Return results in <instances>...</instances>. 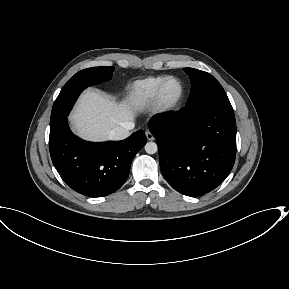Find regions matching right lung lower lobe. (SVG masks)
<instances>
[{
	"instance_id": "1",
	"label": "right lung lower lobe",
	"mask_w": 289,
	"mask_h": 289,
	"mask_svg": "<svg viewBox=\"0 0 289 289\" xmlns=\"http://www.w3.org/2000/svg\"><path fill=\"white\" fill-rule=\"evenodd\" d=\"M146 142L143 130L122 141L86 142L71 132L65 117L50 127L49 149L56 170L70 188L102 197L125 183L133 158Z\"/></svg>"
}]
</instances>
